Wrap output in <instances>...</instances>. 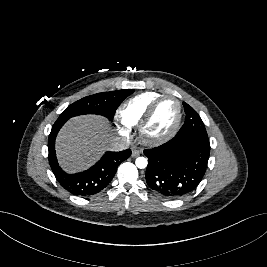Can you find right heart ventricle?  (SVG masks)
Wrapping results in <instances>:
<instances>
[{
    "mask_svg": "<svg viewBox=\"0 0 267 267\" xmlns=\"http://www.w3.org/2000/svg\"><path fill=\"white\" fill-rule=\"evenodd\" d=\"M162 94L147 91L128 99L120 108L121 122L128 128H136L148 106Z\"/></svg>",
    "mask_w": 267,
    "mask_h": 267,
    "instance_id": "1",
    "label": "right heart ventricle"
}]
</instances>
